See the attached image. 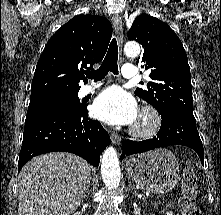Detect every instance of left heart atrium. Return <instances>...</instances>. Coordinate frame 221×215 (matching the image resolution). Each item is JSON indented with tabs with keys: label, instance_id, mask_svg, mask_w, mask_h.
<instances>
[{
	"label": "left heart atrium",
	"instance_id": "obj_1",
	"mask_svg": "<svg viewBox=\"0 0 221 215\" xmlns=\"http://www.w3.org/2000/svg\"><path fill=\"white\" fill-rule=\"evenodd\" d=\"M92 114L111 125H132L139 116L135 99L119 86L102 91L94 100Z\"/></svg>",
	"mask_w": 221,
	"mask_h": 215
}]
</instances>
